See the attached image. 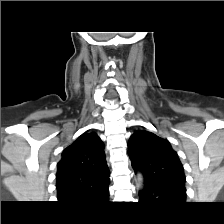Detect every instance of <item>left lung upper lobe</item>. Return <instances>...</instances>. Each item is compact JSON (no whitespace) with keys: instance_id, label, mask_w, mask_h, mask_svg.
<instances>
[{"instance_id":"5c2ea615","label":"left lung upper lobe","mask_w":224,"mask_h":224,"mask_svg":"<svg viewBox=\"0 0 224 224\" xmlns=\"http://www.w3.org/2000/svg\"><path fill=\"white\" fill-rule=\"evenodd\" d=\"M134 168L139 167L145 181L184 187L183 166L170 143L148 131L135 132L128 143Z\"/></svg>"}]
</instances>
